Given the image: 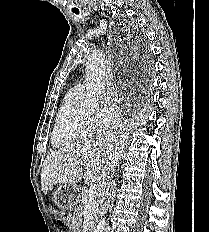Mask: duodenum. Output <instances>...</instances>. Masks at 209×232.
I'll use <instances>...</instances> for the list:
<instances>
[{"instance_id": "1", "label": "duodenum", "mask_w": 209, "mask_h": 232, "mask_svg": "<svg viewBox=\"0 0 209 232\" xmlns=\"http://www.w3.org/2000/svg\"><path fill=\"white\" fill-rule=\"evenodd\" d=\"M89 232H95V228L93 226H90Z\"/></svg>"}]
</instances>
